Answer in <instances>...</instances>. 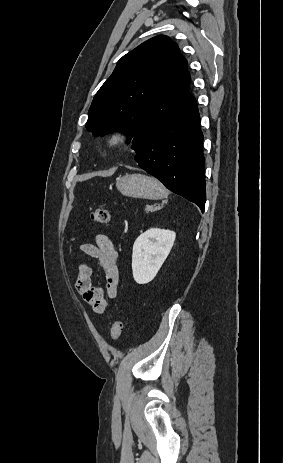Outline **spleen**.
I'll return each instance as SVG.
<instances>
[{"instance_id":"spleen-1","label":"spleen","mask_w":283,"mask_h":463,"mask_svg":"<svg viewBox=\"0 0 283 463\" xmlns=\"http://www.w3.org/2000/svg\"><path fill=\"white\" fill-rule=\"evenodd\" d=\"M168 196V191L165 189V193H164V196L163 197H167Z\"/></svg>"}]
</instances>
